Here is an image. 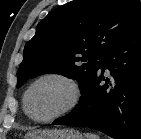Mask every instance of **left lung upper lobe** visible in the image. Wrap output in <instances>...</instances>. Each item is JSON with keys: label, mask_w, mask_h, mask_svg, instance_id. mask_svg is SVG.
<instances>
[{"label": "left lung upper lobe", "mask_w": 141, "mask_h": 139, "mask_svg": "<svg viewBox=\"0 0 141 139\" xmlns=\"http://www.w3.org/2000/svg\"><path fill=\"white\" fill-rule=\"evenodd\" d=\"M141 27L138 0H75L50 12L25 45L17 88L31 77L58 73L89 85L106 53Z\"/></svg>", "instance_id": "obj_1"}]
</instances>
